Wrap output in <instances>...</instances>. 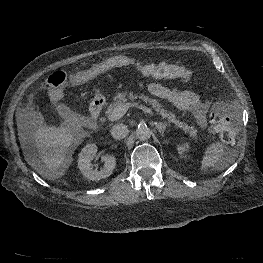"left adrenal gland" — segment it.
<instances>
[{
    "instance_id": "obj_1",
    "label": "left adrenal gland",
    "mask_w": 263,
    "mask_h": 263,
    "mask_svg": "<svg viewBox=\"0 0 263 263\" xmlns=\"http://www.w3.org/2000/svg\"><path fill=\"white\" fill-rule=\"evenodd\" d=\"M154 125L159 130V132L161 133L162 136H164V132L166 130V127L169 126V124H167V123H157V122H154Z\"/></svg>"
}]
</instances>
